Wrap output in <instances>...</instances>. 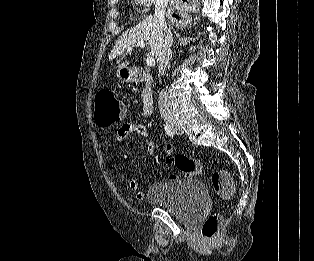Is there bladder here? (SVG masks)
<instances>
[{"instance_id": "obj_1", "label": "bladder", "mask_w": 314, "mask_h": 261, "mask_svg": "<svg viewBox=\"0 0 314 261\" xmlns=\"http://www.w3.org/2000/svg\"><path fill=\"white\" fill-rule=\"evenodd\" d=\"M147 200L187 223L195 221L208 207V191L200 180L154 182Z\"/></svg>"}]
</instances>
